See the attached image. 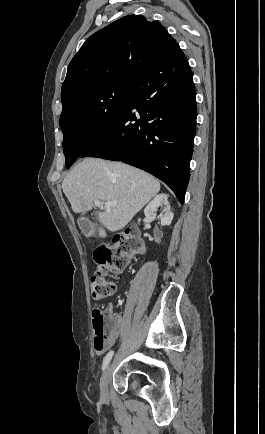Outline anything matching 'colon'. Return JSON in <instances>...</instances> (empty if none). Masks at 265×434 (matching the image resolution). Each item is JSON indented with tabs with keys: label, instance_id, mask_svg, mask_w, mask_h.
<instances>
[{
	"label": "colon",
	"instance_id": "1",
	"mask_svg": "<svg viewBox=\"0 0 265 434\" xmlns=\"http://www.w3.org/2000/svg\"><path fill=\"white\" fill-rule=\"evenodd\" d=\"M94 263L97 267V272L90 279L91 297L95 302L112 296L116 291V279L127 264L126 255L121 252L114 253L109 248H104L93 256ZM93 312L92 334L95 347H106V316L99 309V304H96Z\"/></svg>",
	"mask_w": 265,
	"mask_h": 434
}]
</instances>
